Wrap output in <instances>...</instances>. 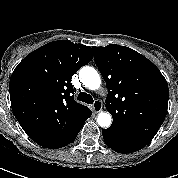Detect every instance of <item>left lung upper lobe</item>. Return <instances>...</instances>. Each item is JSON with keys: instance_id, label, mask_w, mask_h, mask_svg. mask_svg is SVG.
<instances>
[{"instance_id": "obj_1", "label": "left lung upper lobe", "mask_w": 178, "mask_h": 178, "mask_svg": "<svg viewBox=\"0 0 178 178\" xmlns=\"http://www.w3.org/2000/svg\"><path fill=\"white\" fill-rule=\"evenodd\" d=\"M94 60L108 88V128L147 145L161 127L168 108V84L160 70L131 48L110 44L93 47Z\"/></svg>"}]
</instances>
